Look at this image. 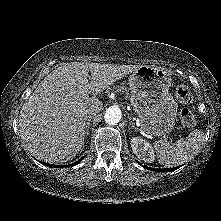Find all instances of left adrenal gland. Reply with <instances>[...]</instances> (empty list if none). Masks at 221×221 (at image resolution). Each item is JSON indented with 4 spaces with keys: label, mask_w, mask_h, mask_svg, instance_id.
Here are the masks:
<instances>
[{
    "label": "left adrenal gland",
    "mask_w": 221,
    "mask_h": 221,
    "mask_svg": "<svg viewBox=\"0 0 221 221\" xmlns=\"http://www.w3.org/2000/svg\"><path fill=\"white\" fill-rule=\"evenodd\" d=\"M128 119H129V121H130V122H129V126L131 127V129L134 128L135 130H137V128L135 127L134 122L131 121V117L129 116V113H128Z\"/></svg>",
    "instance_id": "left-adrenal-gland-1"
}]
</instances>
